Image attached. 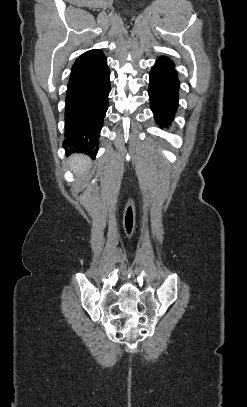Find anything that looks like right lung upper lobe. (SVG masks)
<instances>
[{
	"mask_svg": "<svg viewBox=\"0 0 247 407\" xmlns=\"http://www.w3.org/2000/svg\"><path fill=\"white\" fill-rule=\"evenodd\" d=\"M104 54L100 49H93L90 51H87L86 53L82 54L74 63L72 72H76L87 65L97 61L98 59L102 58Z\"/></svg>",
	"mask_w": 247,
	"mask_h": 407,
	"instance_id": "cb5924a9",
	"label": "right lung upper lobe"
}]
</instances>
